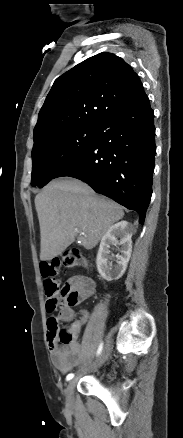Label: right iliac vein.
I'll return each mask as SVG.
<instances>
[{"label": "right iliac vein", "instance_id": "63e3f726", "mask_svg": "<svg viewBox=\"0 0 183 438\" xmlns=\"http://www.w3.org/2000/svg\"><path fill=\"white\" fill-rule=\"evenodd\" d=\"M109 353H110V343L107 345L105 351L103 352L101 357L98 359L96 364L92 367V370H96L97 368L102 366V364L107 360ZM75 383H76L75 379L71 380L65 389L66 405L69 408H72L73 404H74L73 392H74Z\"/></svg>", "mask_w": 183, "mask_h": 438}]
</instances>
